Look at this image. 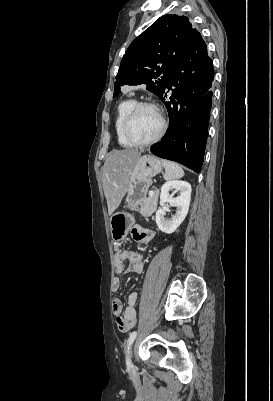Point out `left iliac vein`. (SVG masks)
<instances>
[{
  "instance_id": "obj_1",
  "label": "left iliac vein",
  "mask_w": 273,
  "mask_h": 401,
  "mask_svg": "<svg viewBox=\"0 0 273 401\" xmlns=\"http://www.w3.org/2000/svg\"><path fill=\"white\" fill-rule=\"evenodd\" d=\"M129 358H130V361H131V359H132V352L131 351L129 352ZM131 368L133 369V371H135V366L132 363V361H131Z\"/></svg>"
}]
</instances>
